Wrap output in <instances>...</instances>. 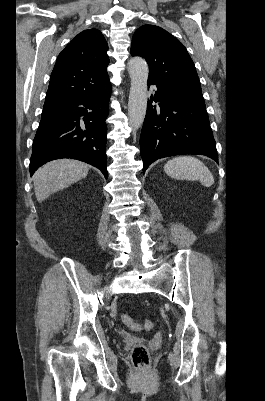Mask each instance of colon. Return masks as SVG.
<instances>
[{
    "label": "colon",
    "instance_id": "colon-1",
    "mask_svg": "<svg viewBox=\"0 0 265 401\" xmlns=\"http://www.w3.org/2000/svg\"><path fill=\"white\" fill-rule=\"evenodd\" d=\"M121 320L128 326L140 331H148L153 327L150 320L135 321L126 314L121 315ZM131 359L136 369L139 371L146 370L150 362L148 349L142 344L135 345L131 350Z\"/></svg>",
    "mask_w": 265,
    "mask_h": 401
}]
</instances>
